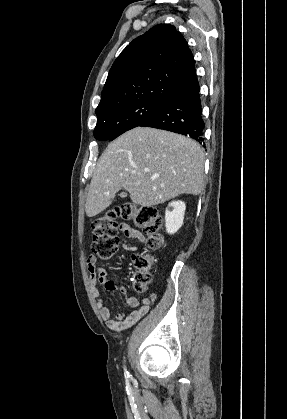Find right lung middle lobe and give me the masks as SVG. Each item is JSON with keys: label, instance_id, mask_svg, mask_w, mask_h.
Here are the masks:
<instances>
[{"label": "right lung middle lobe", "instance_id": "1", "mask_svg": "<svg viewBox=\"0 0 287 419\" xmlns=\"http://www.w3.org/2000/svg\"><path fill=\"white\" fill-rule=\"evenodd\" d=\"M163 101H135L97 115L94 137L97 140H113L124 132L139 126L157 112Z\"/></svg>", "mask_w": 287, "mask_h": 419}]
</instances>
